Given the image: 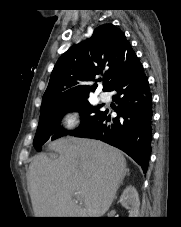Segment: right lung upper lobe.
<instances>
[{
    "label": "right lung upper lobe",
    "instance_id": "obj_1",
    "mask_svg": "<svg viewBox=\"0 0 181 227\" xmlns=\"http://www.w3.org/2000/svg\"><path fill=\"white\" fill-rule=\"evenodd\" d=\"M133 56L135 53L120 29L112 24L99 26L90 39L71 46L60 56L51 73L41 110L88 97L97 84L89 86L84 82L94 81L103 71V91H108Z\"/></svg>",
    "mask_w": 181,
    "mask_h": 227
}]
</instances>
